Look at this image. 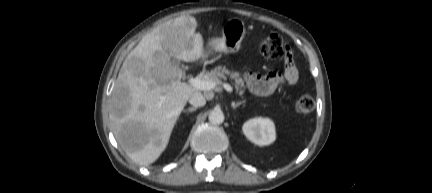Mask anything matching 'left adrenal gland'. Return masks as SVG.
Returning a JSON list of instances; mask_svg holds the SVG:
<instances>
[{"label":"left adrenal gland","mask_w":432,"mask_h":193,"mask_svg":"<svg viewBox=\"0 0 432 193\" xmlns=\"http://www.w3.org/2000/svg\"><path fill=\"white\" fill-rule=\"evenodd\" d=\"M245 102H246L245 100L239 101L237 103L232 102L231 106H232L233 109H236L237 107H239L240 105L244 104Z\"/></svg>","instance_id":"left-adrenal-gland-1"}]
</instances>
